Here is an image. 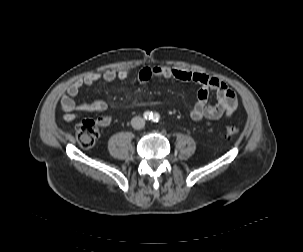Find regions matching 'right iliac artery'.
I'll return each instance as SVG.
<instances>
[{
    "label": "right iliac artery",
    "instance_id": "obj_1",
    "mask_svg": "<svg viewBox=\"0 0 303 252\" xmlns=\"http://www.w3.org/2000/svg\"><path fill=\"white\" fill-rule=\"evenodd\" d=\"M144 118L147 120V119H151L152 118V112H149V111H147V112H145L144 113Z\"/></svg>",
    "mask_w": 303,
    "mask_h": 252
}]
</instances>
